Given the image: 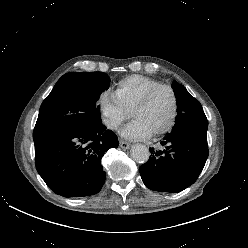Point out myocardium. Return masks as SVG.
<instances>
[{
  "label": "myocardium",
  "instance_id": "f54148a6",
  "mask_svg": "<svg viewBox=\"0 0 248 248\" xmlns=\"http://www.w3.org/2000/svg\"><path fill=\"white\" fill-rule=\"evenodd\" d=\"M161 89H166L168 90L171 95H172V99H173V109H172V114L171 117L169 119V121L167 122V124L162 127L161 129L155 131L152 133V136H160L163 135L167 132H169L175 125L177 117H178V108H179V102H178V96L176 91L173 89V87H171L170 85H166V84H160L157 85L151 89H149L130 109V115L132 116V113L140 108H143L144 106H146L149 101L151 100V98L154 96V94L156 92H158Z\"/></svg>",
  "mask_w": 248,
  "mask_h": 248
}]
</instances>
